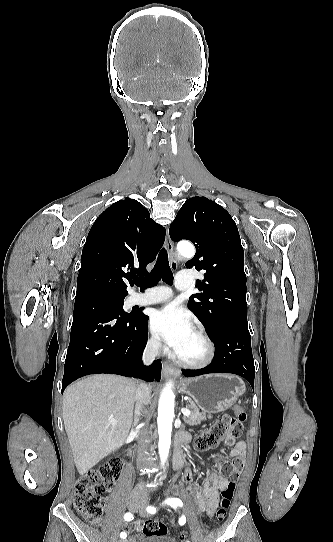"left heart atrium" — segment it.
Wrapping results in <instances>:
<instances>
[{
	"label": "left heart atrium",
	"instance_id": "39dd6f15",
	"mask_svg": "<svg viewBox=\"0 0 333 542\" xmlns=\"http://www.w3.org/2000/svg\"><path fill=\"white\" fill-rule=\"evenodd\" d=\"M152 326L171 353H174L183 340L194 331L189 314L174 304L157 311Z\"/></svg>",
	"mask_w": 333,
	"mask_h": 542
}]
</instances>
